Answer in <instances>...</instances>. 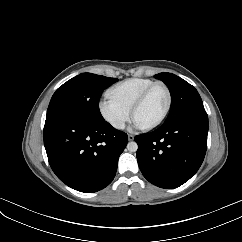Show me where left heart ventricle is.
I'll list each match as a JSON object with an SVG mask.
<instances>
[{
	"instance_id": "obj_1",
	"label": "left heart ventricle",
	"mask_w": 242,
	"mask_h": 242,
	"mask_svg": "<svg viewBox=\"0 0 242 242\" xmlns=\"http://www.w3.org/2000/svg\"><path fill=\"white\" fill-rule=\"evenodd\" d=\"M166 102L167 96L165 90L162 87H156L137 109L134 115V121L143 127L156 122L162 115Z\"/></svg>"
}]
</instances>
